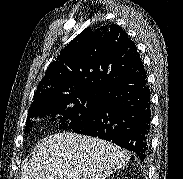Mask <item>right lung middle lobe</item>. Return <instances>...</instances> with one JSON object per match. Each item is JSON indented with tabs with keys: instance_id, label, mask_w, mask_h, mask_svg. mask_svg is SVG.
Returning a JSON list of instances; mask_svg holds the SVG:
<instances>
[{
	"instance_id": "right-lung-middle-lobe-1",
	"label": "right lung middle lobe",
	"mask_w": 183,
	"mask_h": 179,
	"mask_svg": "<svg viewBox=\"0 0 183 179\" xmlns=\"http://www.w3.org/2000/svg\"><path fill=\"white\" fill-rule=\"evenodd\" d=\"M100 102V94H84L74 97H56L44 100L28 111L25 132L29 133L32 126L36 123L37 117H45L48 114L54 116L60 114L59 129L75 130L87 123L96 114ZM55 117L52 118V121ZM58 129V128H57Z\"/></svg>"
}]
</instances>
